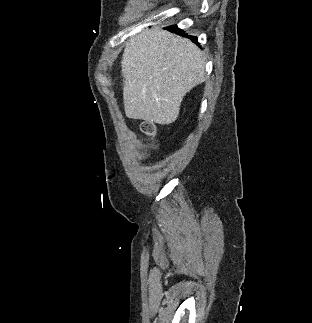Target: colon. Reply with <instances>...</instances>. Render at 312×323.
<instances>
[{
	"label": "colon",
	"instance_id": "obj_1",
	"mask_svg": "<svg viewBox=\"0 0 312 323\" xmlns=\"http://www.w3.org/2000/svg\"><path fill=\"white\" fill-rule=\"evenodd\" d=\"M141 131L145 135H152L154 132L153 124L150 122H146L141 126Z\"/></svg>",
	"mask_w": 312,
	"mask_h": 323
}]
</instances>
